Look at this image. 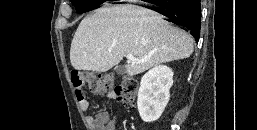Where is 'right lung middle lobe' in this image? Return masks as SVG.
<instances>
[{"mask_svg": "<svg viewBox=\"0 0 257 130\" xmlns=\"http://www.w3.org/2000/svg\"><path fill=\"white\" fill-rule=\"evenodd\" d=\"M79 13L87 12L104 3V0H71Z\"/></svg>", "mask_w": 257, "mask_h": 130, "instance_id": "obj_1", "label": "right lung middle lobe"}]
</instances>
